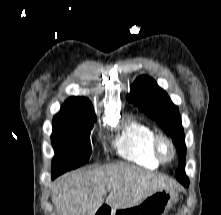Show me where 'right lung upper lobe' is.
I'll return each mask as SVG.
<instances>
[{"mask_svg":"<svg viewBox=\"0 0 221 215\" xmlns=\"http://www.w3.org/2000/svg\"><path fill=\"white\" fill-rule=\"evenodd\" d=\"M79 104H86V105H91L89 99L85 97H70L66 100V102L62 105V107H70V106H75ZM92 106V105H91Z\"/></svg>","mask_w":221,"mask_h":215,"instance_id":"obj_1","label":"right lung upper lobe"}]
</instances>
